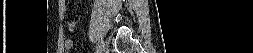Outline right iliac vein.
I'll return each instance as SVG.
<instances>
[{"instance_id":"1","label":"right iliac vein","mask_w":253,"mask_h":53,"mask_svg":"<svg viewBox=\"0 0 253 53\" xmlns=\"http://www.w3.org/2000/svg\"><path fill=\"white\" fill-rule=\"evenodd\" d=\"M104 47H105V43H104L103 41H101V42L99 43V53H102V52H103Z\"/></svg>"}]
</instances>
